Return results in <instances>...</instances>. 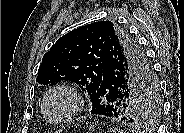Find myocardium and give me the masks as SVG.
Masks as SVG:
<instances>
[{
  "mask_svg": "<svg viewBox=\"0 0 184 133\" xmlns=\"http://www.w3.org/2000/svg\"><path fill=\"white\" fill-rule=\"evenodd\" d=\"M58 93H62L64 95H66L69 98L70 101V108L69 110L62 116L58 117V118H52L48 113H47V103L49 101V99ZM83 109V99L82 96L80 94V92L70 86V85H66V84H61V85H57L52 87L43 97V100L41 102V111L43 116L45 117V119L47 121H49L50 123L53 124H62V123H66L72 119H74L77 115H79V113L82 111Z\"/></svg>",
  "mask_w": 184,
  "mask_h": 133,
  "instance_id": "1",
  "label": "myocardium"
}]
</instances>
